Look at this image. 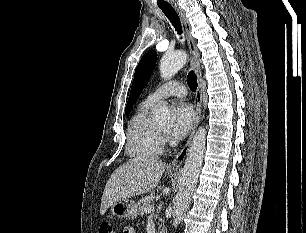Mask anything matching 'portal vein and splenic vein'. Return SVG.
Listing matches in <instances>:
<instances>
[{
	"instance_id": "portal-vein-and-splenic-vein-1",
	"label": "portal vein and splenic vein",
	"mask_w": 306,
	"mask_h": 233,
	"mask_svg": "<svg viewBox=\"0 0 306 233\" xmlns=\"http://www.w3.org/2000/svg\"><path fill=\"white\" fill-rule=\"evenodd\" d=\"M148 213L153 214L154 212V207L153 206H149L147 209Z\"/></svg>"
}]
</instances>
